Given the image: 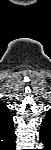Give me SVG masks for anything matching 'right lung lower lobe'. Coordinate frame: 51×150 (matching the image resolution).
<instances>
[{"label":"right lung lower lobe","mask_w":51,"mask_h":150,"mask_svg":"<svg viewBox=\"0 0 51 150\" xmlns=\"http://www.w3.org/2000/svg\"><path fill=\"white\" fill-rule=\"evenodd\" d=\"M11 150H15V144L11 147Z\"/></svg>","instance_id":"1"}]
</instances>
